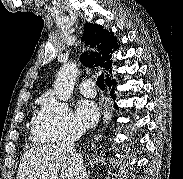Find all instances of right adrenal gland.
Returning a JSON list of instances; mask_svg holds the SVG:
<instances>
[{"mask_svg":"<svg viewBox=\"0 0 183 179\" xmlns=\"http://www.w3.org/2000/svg\"><path fill=\"white\" fill-rule=\"evenodd\" d=\"M90 177V172H88V174L86 175V179H89Z\"/></svg>","mask_w":183,"mask_h":179,"instance_id":"2a0ac1e0","label":"right adrenal gland"}]
</instances>
